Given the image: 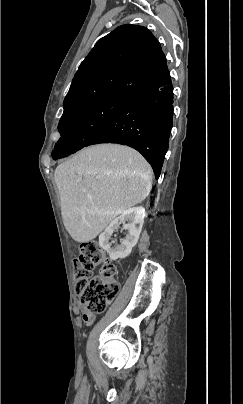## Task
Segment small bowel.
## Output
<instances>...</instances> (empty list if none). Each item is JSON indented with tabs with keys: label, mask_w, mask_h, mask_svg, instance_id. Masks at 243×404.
Wrapping results in <instances>:
<instances>
[{
	"label": "small bowel",
	"mask_w": 243,
	"mask_h": 404,
	"mask_svg": "<svg viewBox=\"0 0 243 404\" xmlns=\"http://www.w3.org/2000/svg\"><path fill=\"white\" fill-rule=\"evenodd\" d=\"M82 320L86 325H90L94 322L95 320V315L92 313H89L88 311H84Z\"/></svg>",
	"instance_id": "c3829d8e"
}]
</instances>
